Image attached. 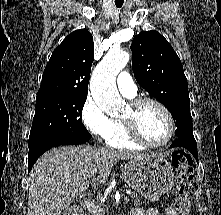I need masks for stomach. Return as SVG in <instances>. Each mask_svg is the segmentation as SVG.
Returning a JSON list of instances; mask_svg holds the SVG:
<instances>
[{
  "label": "stomach",
  "instance_id": "1",
  "mask_svg": "<svg viewBox=\"0 0 221 215\" xmlns=\"http://www.w3.org/2000/svg\"><path fill=\"white\" fill-rule=\"evenodd\" d=\"M122 178L141 196L151 201L158 200L174 185L173 167L158 153L130 159L123 166Z\"/></svg>",
  "mask_w": 221,
  "mask_h": 215
}]
</instances>
